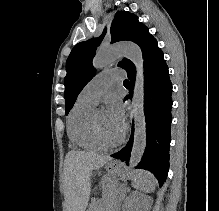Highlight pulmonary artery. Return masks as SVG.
<instances>
[{"label":"pulmonary artery","mask_w":219,"mask_h":211,"mask_svg":"<svg viewBox=\"0 0 219 211\" xmlns=\"http://www.w3.org/2000/svg\"><path fill=\"white\" fill-rule=\"evenodd\" d=\"M124 69H108L95 75L81 90L78 98L97 104L101 95L109 88V86L116 81L126 80Z\"/></svg>","instance_id":"e3ab8cb5"}]
</instances>
